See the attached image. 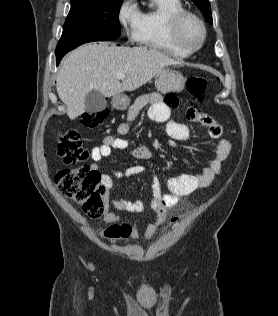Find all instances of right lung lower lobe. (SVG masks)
<instances>
[{"mask_svg":"<svg viewBox=\"0 0 278 316\" xmlns=\"http://www.w3.org/2000/svg\"><path fill=\"white\" fill-rule=\"evenodd\" d=\"M64 55H56V63L57 65L59 64L61 58L63 57Z\"/></svg>","mask_w":278,"mask_h":316,"instance_id":"right-lung-lower-lobe-1","label":"right lung lower lobe"}]
</instances>
